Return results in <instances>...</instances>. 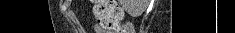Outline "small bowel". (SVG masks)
<instances>
[{"mask_svg": "<svg viewBox=\"0 0 235 33\" xmlns=\"http://www.w3.org/2000/svg\"><path fill=\"white\" fill-rule=\"evenodd\" d=\"M95 31L96 33H111V32H108V31H105L103 28H101L100 26H96L95 27Z\"/></svg>", "mask_w": 235, "mask_h": 33, "instance_id": "obj_1", "label": "small bowel"}]
</instances>
